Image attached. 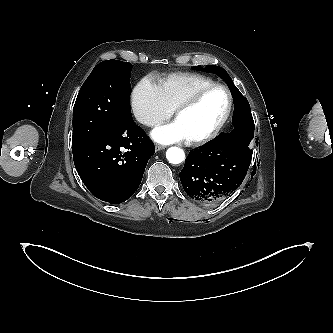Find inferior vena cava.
Segmentation results:
<instances>
[{
    "label": "inferior vena cava",
    "mask_w": 333,
    "mask_h": 333,
    "mask_svg": "<svg viewBox=\"0 0 333 333\" xmlns=\"http://www.w3.org/2000/svg\"><path fill=\"white\" fill-rule=\"evenodd\" d=\"M144 123L148 124V125H153L155 122L153 120H151V119H145Z\"/></svg>",
    "instance_id": "602c4592"
}]
</instances>
